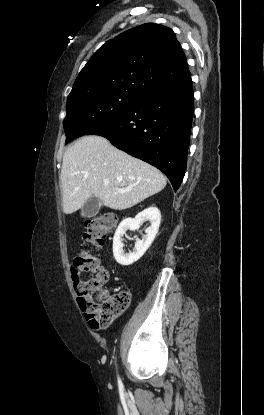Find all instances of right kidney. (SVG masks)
I'll use <instances>...</instances> for the list:
<instances>
[{"mask_svg": "<svg viewBox=\"0 0 264 415\" xmlns=\"http://www.w3.org/2000/svg\"><path fill=\"white\" fill-rule=\"evenodd\" d=\"M149 219L151 225L145 230L142 240L136 239L133 252L126 253L123 249V235L127 230H136ZM161 222L158 208L149 207L138 213L135 218H126L118 226L113 238V255L115 260L123 266H128L139 260L154 241Z\"/></svg>", "mask_w": 264, "mask_h": 415, "instance_id": "ca27d5eb", "label": "right kidney"}]
</instances>
